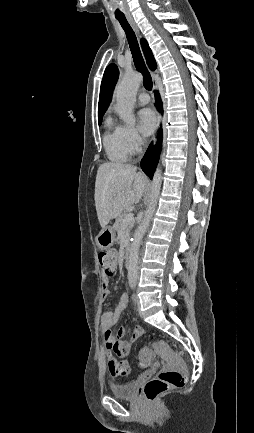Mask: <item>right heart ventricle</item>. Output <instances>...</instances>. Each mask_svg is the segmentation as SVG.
Masks as SVG:
<instances>
[{
    "mask_svg": "<svg viewBox=\"0 0 254 433\" xmlns=\"http://www.w3.org/2000/svg\"><path fill=\"white\" fill-rule=\"evenodd\" d=\"M103 145L108 159L112 162H126L131 155L123 138L122 127L116 125L111 118H107L105 122Z\"/></svg>",
    "mask_w": 254,
    "mask_h": 433,
    "instance_id": "right-heart-ventricle-1",
    "label": "right heart ventricle"
}]
</instances>
